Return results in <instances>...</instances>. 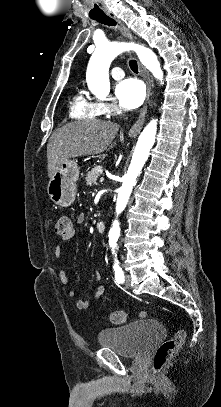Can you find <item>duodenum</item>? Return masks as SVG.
I'll list each match as a JSON object with an SVG mask.
<instances>
[{
  "label": "duodenum",
  "mask_w": 221,
  "mask_h": 407,
  "mask_svg": "<svg viewBox=\"0 0 221 407\" xmlns=\"http://www.w3.org/2000/svg\"><path fill=\"white\" fill-rule=\"evenodd\" d=\"M96 230L98 233H103L105 231V222L104 221H98L96 224Z\"/></svg>",
  "instance_id": "410a0bca"
}]
</instances>
